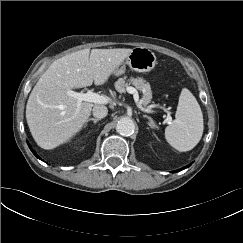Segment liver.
<instances>
[{
  "mask_svg": "<svg viewBox=\"0 0 243 243\" xmlns=\"http://www.w3.org/2000/svg\"><path fill=\"white\" fill-rule=\"evenodd\" d=\"M132 49H83L55 60L40 77L26 105L30 132L43 149H53L78 133L88 120L92 102L77 100L66 93L106 83Z\"/></svg>",
  "mask_w": 243,
  "mask_h": 243,
  "instance_id": "1",
  "label": "liver"
}]
</instances>
